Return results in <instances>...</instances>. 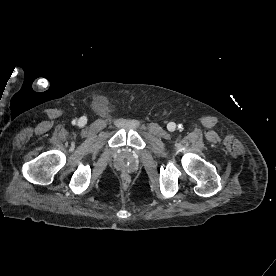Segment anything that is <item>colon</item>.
<instances>
[{"mask_svg":"<svg viewBox=\"0 0 276 276\" xmlns=\"http://www.w3.org/2000/svg\"><path fill=\"white\" fill-rule=\"evenodd\" d=\"M121 182H122V185H123L124 187H127V186L129 185V183H130V178H129V176H128L127 174H123V175L121 176Z\"/></svg>","mask_w":276,"mask_h":276,"instance_id":"colon-1","label":"colon"}]
</instances>
